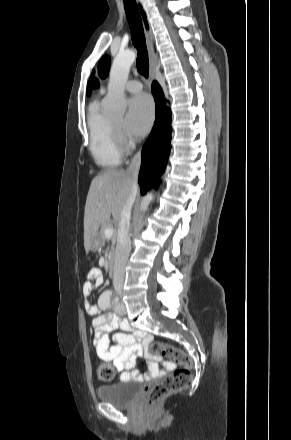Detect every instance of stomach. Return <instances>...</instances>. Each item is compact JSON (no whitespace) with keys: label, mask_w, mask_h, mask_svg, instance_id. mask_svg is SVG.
<instances>
[{"label":"stomach","mask_w":291,"mask_h":440,"mask_svg":"<svg viewBox=\"0 0 291 440\" xmlns=\"http://www.w3.org/2000/svg\"><path fill=\"white\" fill-rule=\"evenodd\" d=\"M100 243H101V241H100V238H99V236H98V237L94 240V242L92 243L91 248H92V249H97V248L99 247Z\"/></svg>","instance_id":"1"}]
</instances>
